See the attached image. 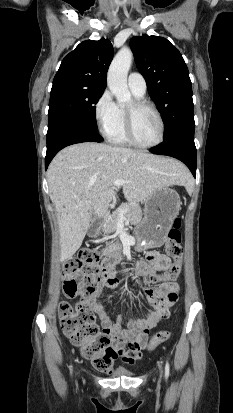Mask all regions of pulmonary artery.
I'll return each instance as SVG.
<instances>
[{"label": "pulmonary artery", "mask_w": 233, "mask_h": 413, "mask_svg": "<svg viewBox=\"0 0 233 413\" xmlns=\"http://www.w3.org/2000/svg\"><path fill=\"white\" fill-rule=\"evenodd\" d=\"M128 87L131 92L139 97L144 96L147 90V84L144 77L138 72H132L127 79Z\"/></svg>", "instance_id": "pulmonary-artery-1"}]
</instances>
